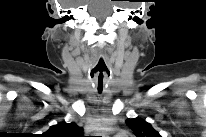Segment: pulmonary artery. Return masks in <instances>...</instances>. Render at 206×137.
Listing matches in <instances>:
<instances>
[{
    "label": "pulmonary artery",
    "mask_w": 206,
    "mask_h": 137,
    "mask_svg": "<svg viewBox=\"0 0 206 137\" xmlns=\"http://www.w3.org/2000/svg\"><path fill=\"white\" fill-rule=\"evenodd\" d=\"M115 137H127V135L121 132V133L116 134Z\"/></svg>",
    "instance_id": "1"
}]
</instances>
